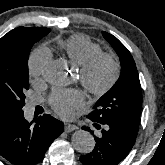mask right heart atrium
Returning <instances> with one entry per match:
<instances>
[{
    "mask_svg": "<svg viewBox=\"0 0 165 165\" xmlns=\"http://www.w3.org/2000/svg\"><path fill=\"white\" fill-rule=\"evenodd\" d=\"M51 60V53L46 47H39L34 50L29 59V74L32 78L42 77L45 68Z\"/></svg>",
    "mask_w": 165,
    "mask_h": 165,
    "instance_id": "right-heart-atrium-1",
    "label": "right heart atrium"
}]
</instances>
